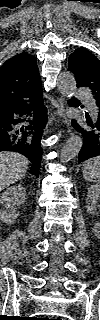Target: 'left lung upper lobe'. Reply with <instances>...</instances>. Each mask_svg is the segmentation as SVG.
<instances>
[{"instance_id":"obj_1","label":"left lung upper lobe","mask_w":100,"mask_h":320,"mask_svg":"<svg viewBox=\"0 0 100 320\" xmlns=\"http://www.w3.org/2000/svg\"><path fill=\"white\" fill-rule=\"evenodd\" d=\"M68 69L74 73L77 86L89 88L100 106V61L87 49L79 48L69 56Z\"/></svg>"}]
</instances>
